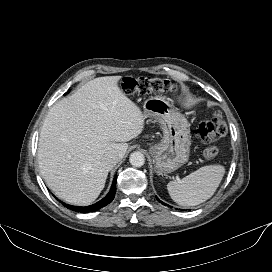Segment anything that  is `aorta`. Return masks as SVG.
Returning a JSON list of instances; mask_svg holds the SVG:
<instances>
[{
    "mask_svg": "<svg viewBox=\"0 0 272 272\" xmlns=\"http://www.w3.org/2000/svg\"><path fill=\"white\" fill-rule=\"evenodd\" d=\"M129 161L135 167H141L145 163V157L141 152H133L130 155Z\"/></svg>",
    "mask_w": 272,
    "mask_h": 272,
    "instance_id": "762f6f07",
    "label": "aorta"
}]
</instances>
